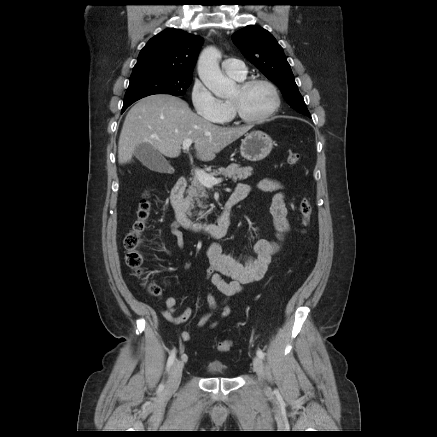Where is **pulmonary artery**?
Segmentation results:
<instances>
[{"mask_svg":"<svg viewBox=\"0 0 437 437\" xmlns=\"http://www.w3.org/2000/svg\"><path fill=\"white\" fill-rule=\"evenodd\" d=\"M222 69L227 75L237 80H242L246 76L245 65L238 59L229 58L224 60L222 63Z\"/></svg>","mask_w":437,"mask_h":437,"instance_id":"pulmonary-artery-1","label":"pulmonary artery"}]
</instances>
